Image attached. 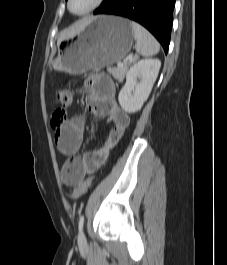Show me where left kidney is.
Wrapping results in <instances>:
<instances>
[{"instance_id": "left-kidney-1", "label": "left kidney", "mask_w": 227, "mask_h": 265, "mask_svg": "<svg viewBox=\"0 0 227 265\" xmlns=\"http://www.w3.org/2000/svg\"><path fill=\"white\" fill-rule=\"evenodd\" d=\"M160 67L161 62L158 59H143L130 67L126 83L118 96L119 104L125 112L135 113L142 108L150 95Z\"/></svg>"}]
</instances>
